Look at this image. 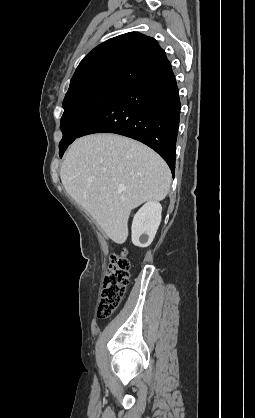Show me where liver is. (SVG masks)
Returning <instances> with one entry per match:
<instances>
[{
    "instance_id": "obj_1",
    "label": "liver",
    "mask_w": 255,
    "mask_h": 418,
    "mask_svg": "<svg viewBox=\"0 0 255 418\" xmlns=\"http://www.w3.org/2000/svg\"><path fill=\"white\" fill-rule=\"evenodd\" d=\"M60 177L66 192L115 243L128 237L132 209L163 200L171 172L152 149L116 134H93L70 146Z\"/></svg>"
}]
</instances>
